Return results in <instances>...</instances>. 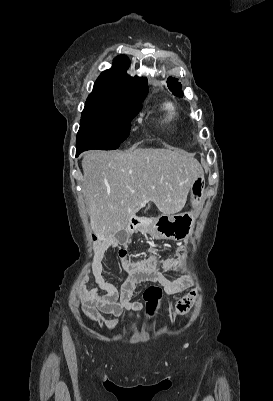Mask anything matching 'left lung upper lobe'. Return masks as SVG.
Returning <instances> with one entry per match:
<instances>
[{"label":"left lung upper lobe","instance_id":"left-lung-upper-lobe-1","mask_svg":"<svg viewBox=\"0 0 273 401\" xmlns=\"http://www.w3.org/2000/svg\"><path fill=\"white\" fill-rule=\"evenodd\" d=\"M167 85L174 95L183 97V92L181 91L182 85L178 83V79L172 77L168 78Z\"/></svg>","mask_w":273,"mask_h":401}]
</instances>
